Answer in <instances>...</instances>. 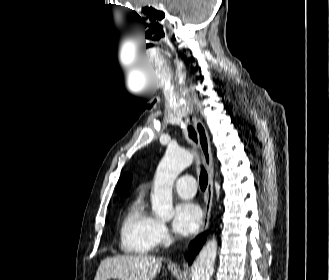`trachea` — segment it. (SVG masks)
<instances>
[{
	"label": "trachea",
	"instance_id": "1",
	"mask_svg": "<svg viewBox=\"0 0 329 280\" xmlns=\"http://www.w3.org/2000/svg\"><path fill=\"white\" fill-rule=\"evenodd\" d=\"M188 133H189V137L197 143V134L194 130L193 127L188 126ZM199 184L201 187L202 191H205L207 185H208V176H207V172L205 171L204 167L201 166V171H200V176H199Z\"/></svg>",
	"mask_w": 329,
	"mask_h": 280
}]
</instances>
